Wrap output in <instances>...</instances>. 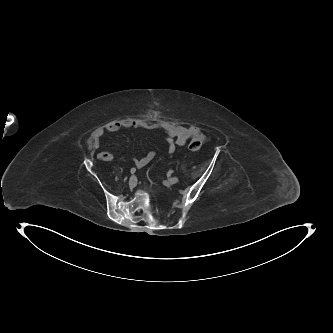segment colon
Returning <instances> with one entry per match:
<instances>
[{
	"instance_id": "5ec220e1",
	"label": "colon",
	"mask_w": 333,
	"mask_h": 333,
	"mask_svg": "<svg viewBox=\"0 0 333 333\" xmlns=\"http://www.w3.org/2000/svg\"><path fill=\"white\" fill-rule=\"evenodd\" d=\"M202 144V140H200L199 138H193L189 143V149L191 151H197L202 147Z\"/></svg>"
}]
</instances>
